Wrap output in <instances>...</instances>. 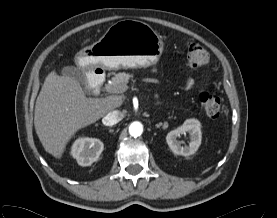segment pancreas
<instances>
[{"mask_svg": "<svg viewBox=\"0 0 277 218\" xmlns=\"http://www.w3.org/2000/svg\"><path fill=\"white\" fill-rule=\"evenodd\" d=\"M133 79V74L129 73H118L112 78V83L108 84L107 87L112 93H123L128 89L127 83Z\"/></svg>", "mask_w": 277, "mask_h": 218, "instance_id": "obj_1", "label": "pancreas"}]
</instances>
